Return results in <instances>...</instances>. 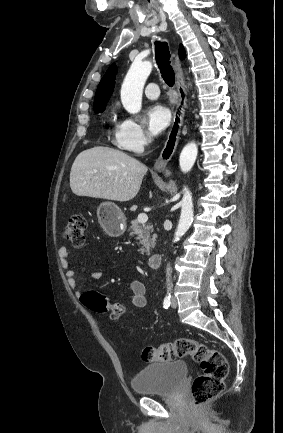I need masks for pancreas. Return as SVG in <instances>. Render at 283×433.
I'll return each instance as SVG.
<instances>
[{"label":"pancreas","instance_id":"pancreas-1","mask_svg":"<svg viewBox=\"0 0 283 433\" xmlns=\"http://www.w3.org/2000/svg\"><path fill=\"white\" fill-rule=\"evenodd\" d=\"M129 231H131L130 235H137L136 239L144 245L143 249H138L139 253L141 255H150L151 253V247H154L156 237L155 235H152L153 229L151 225H145V227H141V223H138V221H132L131 227H129Z\"/></svg>","mask_w":283,"mask_h":433}]
</instances>
